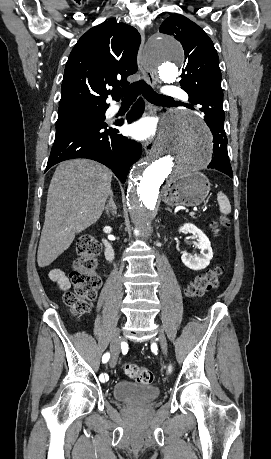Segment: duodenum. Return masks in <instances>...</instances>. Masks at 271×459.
Segmentation results:
<instances>
[{
  "mask_svg": "<svg viewBox=\"0 0 271 459\" xmlns=\"http://www.w3.org/2000/svg\"><path fill=\"white\" fill-rule=\"evenodd\" d=\"M105 246V256L109 263H113L115 259V250L113 245L106 239L103 240Z\"/></svg>",
  "mask_w": 271,
  "mask_h": 459,
  "instance_id": "duodenum-1",
  "label": "duodenum"
}]
</instances>
